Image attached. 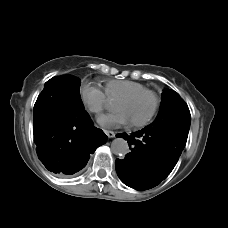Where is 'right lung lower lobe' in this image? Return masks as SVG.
Segmentation results:
<instances>
[{"label":"right lung lower lobe","instance_id":"1","mask_svg":"<svg viewBox=\"0 0 228 228\" xmlns=\"http://www.w3.org/2000/svg\"><path fill=\"white\" fill-rule=\"evenodd\" d=\"M34 106V143L40 161L54 173L74 174L87 164L90 154L107 141L92 125L84 106L58 102L46 90Z\"/></svg>","mask_w":228,"mask_h":228}]
</instances>
